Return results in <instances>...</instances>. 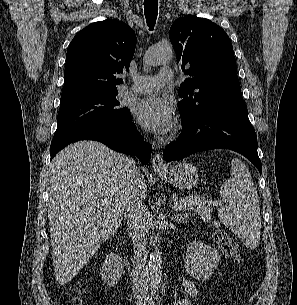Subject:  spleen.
Returning <instances> with one entry per match:
<instances>
[{
    "mask_svg": "<svg viewBox=\"0 0 297 305\" xmlns=\"http://www.w3.org/2000/svg\"><path fill=\"white\" fill-rule=\"evenodd\" d=\"M220 195L227 204L218 209L221 222L254 249L259 244L261 217L257 191L245 164L233 158L231 177L220 188Z\"/></svg>",
    "mask_w": 297,
    "mask_h": 305,
    "instance_id": "obj_1",
    "label": "spleen"
}]
</instances>
